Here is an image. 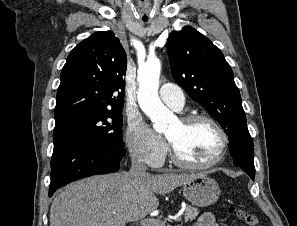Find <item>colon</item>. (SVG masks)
<instances>
[{
  "label": "colon",
  "mask_w": 297,
  "mask_h": 226,
  "mask_svg": "<svg viewBox=\"0 0 297 226\" xmlns=\"http://www.w3.org/2000/svg\"><path fill=\"white\" fill-rule=\"evenodd\" d=\"M230 211L234 212L235 209L233 207H231ZM237 215L248 226H256V224L258 223L257 216L253 213L245 212V211H238Z\"/></svg>",
  "instance_id": "1"
}]
</instances>
